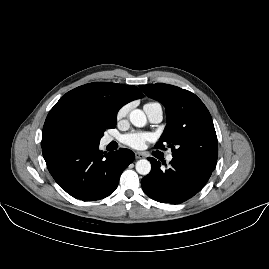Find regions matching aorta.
<instances>
[{"label":"aorta","instance_id":"1","mask_svg":"<svg viewBox=\"0 0 269 269\" xmlns=\"http://www.w3.org/2000/svg\"><path fill=\"white\" fill-rule=\"evenodd\" d=\"M130 122L135 127H144L147 123L145 113L140 109H135L130 112ZM136 171L141 175H147L151 171V163L147 159H140L135 165Z\"/></svg>","mask_w":269,"mask_h":269}]
</instances>
